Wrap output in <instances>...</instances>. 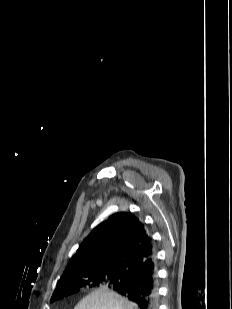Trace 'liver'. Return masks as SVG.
Wrapping results in <instances>:
<instances>
[{"label":"liver","mask_w":232,"mask_h":309,"mask_svg":"<svg viewBox=\"0 0 232 309\" xmlns=\"http://www.w3.org/2000/svg\"><path fill=\"white\" fill-rule=\"evenodd\" d=\"M74 309H139L137 305L108 288H100L84 297Z\"/></svg>","instance_id":"6515ba94"}]
</instances>
